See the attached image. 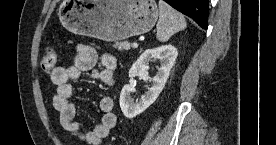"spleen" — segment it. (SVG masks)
Instances as JSON below:
<instances>
[{
    "label": "spleen",
    "mask_w": 276,
    "mask_h": 145,
    "mask_svg": "<svg viewBox=\"0 0 276 145\" xmlns=\"http://www.w3.org/2000/svg\"><path fill=\"white\" fill-rule=\"evenodd\" d=\"M159 10L156 36L160 42H166L174 33L186 28V21L181 13L163 0H159Z\"/></svg>",
    "instance_id": "3e777b00"
}]
</instances>
